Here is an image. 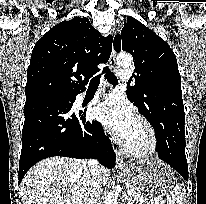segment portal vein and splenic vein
<instances>
[{
    "instance_id": "obj_1",
    "label": "portal vein and splenic vein",
    "mask_w": 206,
    "mask_h": 204,
    "mask_svg": "<svg viewBox=\"0 0 206 204\" xmlns=\"http://www.w3.org/2000/svg\"><path fill=\"white\" fill-rule=\"evenodd\" d=\"M127 194H128L129 196H134V195H135V193H134L133 190H128V191H127ZM151 204H159V199H158V198H155L154 201H153Z\"/></svg>"
}]
</instances>
